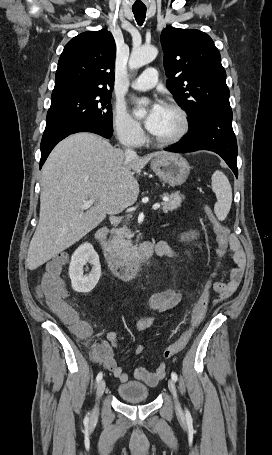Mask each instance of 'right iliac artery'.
Instances as JSON below:
<instances>
[{"label": "right iliac artery", "instance_id": "1", "mask_svg": "<svg viewBox=\"0 0 272 455\" xmlns=\"http://www.w3.org/2000/svg\"><path fill=\"white\" fill-rule=\"evenodd\" d=\"M102 376H103L102 372H99L96 377V382H99L102 379ZM86 420H88V417H86Z\"/></svg>", "mask_w": 272, "mask_h": 455}]
</instances>
